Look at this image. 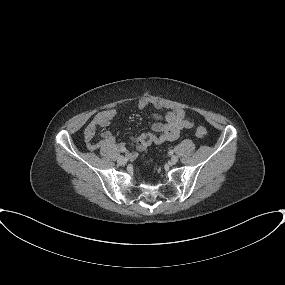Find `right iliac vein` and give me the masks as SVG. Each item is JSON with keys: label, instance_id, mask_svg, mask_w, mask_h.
Listing matches in <instances>:
<instances>
[{"label": "right iliac vein", "instance_id": "1", "mask_svg": "<svg viewBox=\"0 0 285 285\" xmlns=\"http://www.w3.org/2000/svg\"><path fill=\"white\" fill-rule=\"evenodd\" d=\"M117 162H118L120 165H124V164L127 162V157L119 156L118 159H117Z\"/></svg>", "mask_w": 285, "mask_h": 285}]
</instances>
